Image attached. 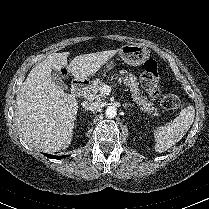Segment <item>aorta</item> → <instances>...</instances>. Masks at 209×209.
<instances>
[{"mask_svg":"<svg viewBox=\"0 0 209 209\" xmlns=\"http://www.w3.org/2000/svg\"><path fill=\"white\" fill-rule=\"evenodd\" d=\"M105 113L108 118H114L117 115V109L114 106H109Z\"/></svg>","mask_w":209,"mask_h":209,"instance_id":"1","label":"aorta"}]
</instances>
